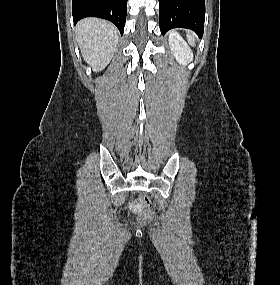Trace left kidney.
Masks as SVG:
<instances>
[{
	"label": "left kidney",
	"mask_w": 280,
	"mask_h": 285,
	"mask_svg": "<svg viewBox=\"0 0 280 285\" xmlns=\"http://www.w3.org/2000/svg\"><path fill=\"white\" fill-rule=\"evenodd\" d=\"M169 45L176 60L186 66L193 60V53L184 39L175 31L169 34Z\"/></svg>",
	"instance_id": "1"
}]
</instances>
